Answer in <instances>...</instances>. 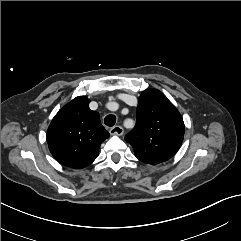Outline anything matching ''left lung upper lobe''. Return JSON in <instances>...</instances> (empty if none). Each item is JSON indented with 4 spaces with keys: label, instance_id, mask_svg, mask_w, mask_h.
<instances>
[{
    "label": "left lung upper lobe",
    "instance_id": "left-lung-upper-lobe-1",
    "mask_svg": "<svg viewBox=\"0 0 241 241\" xmlns=\"http://www.w3.org/2000/svg\"><path fill=\"white\" fill-rule=\"evenodd\" d=\"M137 123L125 136L140 161L156 165L170 159L184 137V122L179 111L157 89L145 90L139 97Z\"/></svg>",
    "mask_w": 241,
    "mask_h": 241
}]
</instances>
